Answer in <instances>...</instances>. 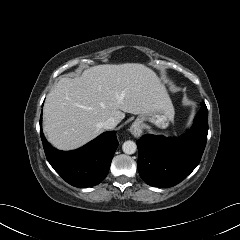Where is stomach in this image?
I'll return each instance as SVG.
<instances>
[{
  "instance_id": "0dacf381",
  "label": "stomach",
  "mask_w": 240,
  "mask_h": 240,
  "mask_svg": "<svg viewBox=\"0 0 240 240\" xmlns=\"http://www.w3.org/2000/svg\"><path fill=\"white\" fill-rule=\"evenodd\" d=\"M174 110L171 109H160L149 114H142L137 119L141 125H145V122H151L159 128H166L173 120Z\"/></svg>"
}]
</instances>
